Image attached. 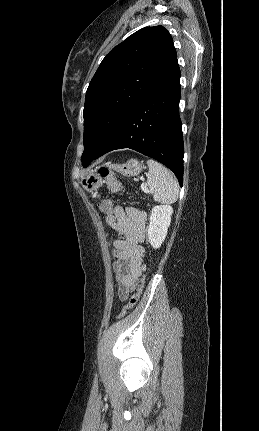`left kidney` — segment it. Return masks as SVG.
<instances>
[{"instance_id": "obj_1", "label": "left kidney", "mask_w": 259, "mask_h": 431, "mask_svg": "<svg viewBox=\"0 0 259 431\" xmlns=\"http://www.w3.org/2000/svg\"><path fill=\"white\" fill-rule=\"evenodd\" d=\"M173 209L169 205H157L152 208L148 239L153 248H159L167 235Z\"/></svg>"}]
</instances>
